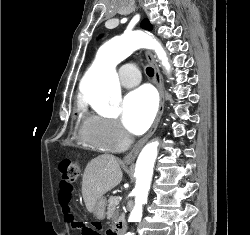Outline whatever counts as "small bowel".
<instances>
[{
	"label": "small bowel",
	"instance_id": "1",
	"mask_svg": "<svg viewBox=\"0 0 250 235\" xmlns=\"http://www.w3.org/2000/svg\"><path fill=\"white\" fill-rule=\"evenodd\" d=\"M70 199H71V192H59L58 203L64 215L67 213L69 209ZM89 230L91 232L90 233L91 235H98V233L95 230L93 229H89ZM80 234L85 235L84 233H82V231H80Z\"/></svg>",
	"mask_w": 250,
	"mask_h": 235
}]
</instances>
